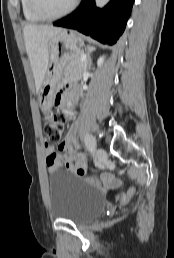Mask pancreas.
<instances>
[{
	"instance_id": "cf45deb5",
	"label": "pancreas",
	"mask_w": 174,
	"mask_h": 258,
	"mask_svg": "<svg viewBox=\"0 0 174 258\" xmlns=\"http://www.w3.org/2000/svg\"><path fill=\"white\" fill-rule=\"evenodd\" d=\"M81 56L82 54L67 63L63 72V81L81 78L83 71L87 68V62H81Z\"/></svg>"
}]
</instances>
